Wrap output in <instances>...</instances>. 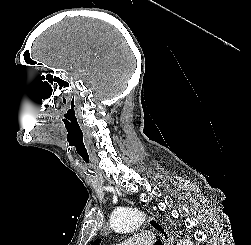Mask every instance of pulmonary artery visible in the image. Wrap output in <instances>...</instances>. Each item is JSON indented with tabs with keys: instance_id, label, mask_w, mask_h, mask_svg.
Instances as JSON below:
<instances>
[{
	"instance_id": "obj_1",
	"label": "pulmonary artery",
	"mask_w": 251,
	"mask_h": 245,
	"mask_svg": "<svg viewBox=\"0 0 251 245\" xmlns=\"http://www.w3.org/2000/svg\"><path fill=\"white\" fill-rule=\"evenodd\" d=\"M153 237L152 232H142L119 245H152Z\"/></svg>"
}]
</instances>
